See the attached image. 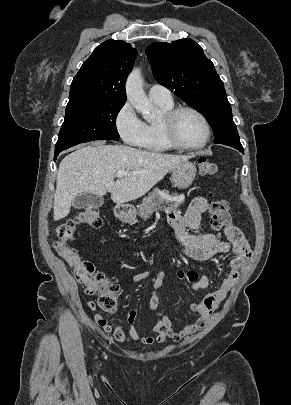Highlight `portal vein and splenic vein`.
I'll use <instances>...</instances> for the list:
<instances>
[{
    "instance_id": "1",
    "label": "portal vein and splenic vein",
    "mask_w": 291,
    "mask_h": 405,
    "mask_svg": "<svg viewBox=\"0 0 291 405\" xmlns=\"http://www.w3.org/2000/svg\"><path fill=\"white\" fill-rule=\"evenodd\" d=\"M128 173L126 171H119L116 173V177L117 178H122L124 176H126Z\"/></svg>"
}]
</instances>
